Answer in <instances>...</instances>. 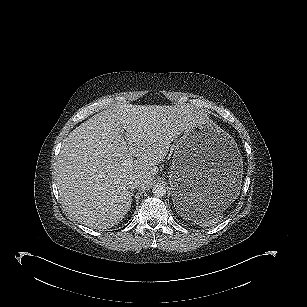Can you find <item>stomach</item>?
Instances as JSON below:
<instances>
[{
	"label": "stomach",
	"instance_id": "0dacf381",
	"mask_svg": "<svg viewBox=\"0 0 307 307\" xmlns=\"http://www.w3.org/2000/svg\"><path fill=\"white\" fill-rule=\"evenodd\" d=\"M243 159L234 139L205 117L178 143L169 175L177 212L192 221L201 211L216 213L239 195Z\"/></svg>",
	"mask_w": 307,
	"mask_h": 307
}]
</instances>
